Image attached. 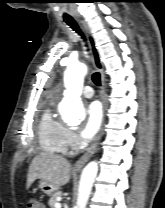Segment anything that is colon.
Segmentation results:
<instances>
[{
    "instance_id": "colon-1",
    "label": "colon",
    "mask_w": 165,
    "mask_h": 208,
    "mask_svg": "<svg viewBox=\"0 0 165 208\" xmlns=\"http://www.w3.org/2000/svg\"><path fill=\"white\" fill-rule=\"evenodd\" d=\"M28 208H44L39 200L32 199L28 203Z\"/></svg>"
}]
</instances>
